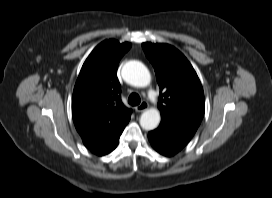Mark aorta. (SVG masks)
<instances>
[{"instance_id": "1", "label": "aorta", "mask_w": 272, "mask_h": 198, "mask_svg": "<svg viewBox=\"0 0 272 198\" xmlns=\"http://www.w3.org/2000/svg\"><path fill=\"white\" fill-rule=\"evenodd\" d=\"M124 80L136 87H146L150 84L151 75L147 67L139 61H129L122 68ZM160 112L151 108L142 113L140 125L145 130H153L160 123Z\"/></svg>"}]
</instances>
